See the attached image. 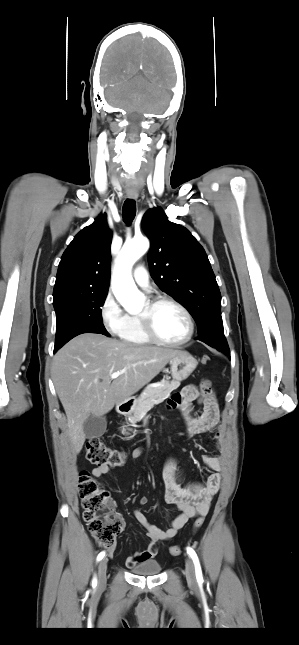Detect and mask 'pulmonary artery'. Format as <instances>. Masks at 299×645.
<instances>
[{"instance_id": "1", "label": "pulmonary artery", "mask_w": 299, "mask_h": 645, "mask_svg": "<svg viewBox=\"0 0 299 645\" xmlns=\"http://www.w3.org/2000/svg\"><path fill=\"white\" fill-rule=\"evenodd\" d=\"M136 283L144 289L149 287V274L145 267L137 266L133 272Z\"/></svg>"}]
</instances>
